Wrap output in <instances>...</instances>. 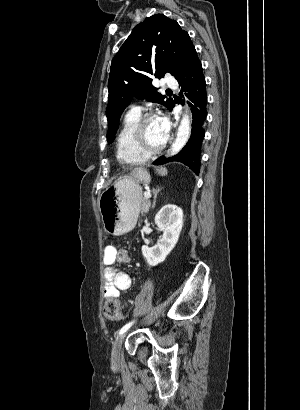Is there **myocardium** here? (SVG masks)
Returning <instances> with one entry per match:
<instances>
[{"label": "myocardium", "instance_id": "obj_1", "mask_svg": "<svg viewBox=\"0 0 300 410\" xmlns=\"http://www.w3.org/2000/svg\"><path fill=\"white\" fill-rule=\"evenodd\" d=\"M153 118H155L153 114H145L143 116H140L132 131V141L134 146L139 152L147 156L157 154L164 150L169 140L168 138H166V140L157 147H150L147 145L144 136V126L149 120Z\"/></svg>", "mask_w": 300, "mask_h": 410}]
</instances>
